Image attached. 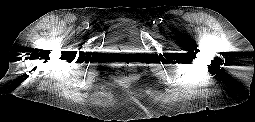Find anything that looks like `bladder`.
<instances>
[{"label": "bladder", "instance_id": "31cf9c89", "mask_svg": "<svg viewBox=\"0 0 255 122\" xmlns=\"http://www.w3.org/2000/svg\"><path fill=\"white\" fill-rule=\"evenodd\" d=\"M109 45H125L129 49H134L138 45V32L134 25L124 24L113 26L107 35Z\"/></svg>", "mask_w": 255, "mask_h": 122}]
</instances>
